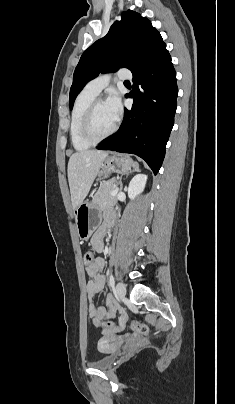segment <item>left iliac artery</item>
<instances>
[{"label":"left iliac artery","instance_id":"1","mask_svg":"<svg viewBox=\"0 0 235 404\" xmlns=\"http://www.w3.org/2000/svg\"><path fill=\"white\" fill-rule=\"evenodd\" d=\"M109 285H110V287H114V285H115V279H114V276H113V274H110V276H109Z\"/></svg>","mask_w":235,"mask_h":404}]
</instances>
